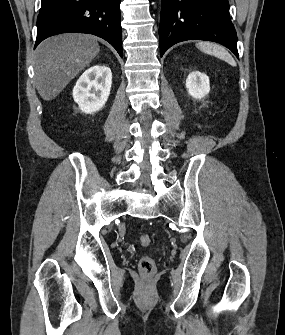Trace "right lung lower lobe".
<instances>
[{
  "label": "right lung lower lobe",
  "instance_id": "98d812e1",
  "mask_svg": "<svg viewBox=\"0 0 285 335\" xmlns=\"http://www.w3.org/2000/svg\"><path fill=\"white\" fill-rule=\"evenodd\" d=\"M35 47L61 33H87L108 41L123 56L121 0H41Z\"/></svg>",
  "mask_w": 285,
  "mask_h": 335
}]
</instances>
